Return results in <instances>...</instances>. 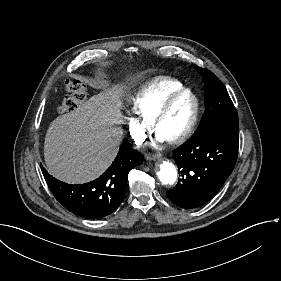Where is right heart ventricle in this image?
<instances>
[{"mask_svg":"<svg viewBox=\"0 0 281 281\" xmlns=\"http://www.w3.org/2000/svg\"><path fill=\"white\" fill-rule=\"evenodd\" d=\"M186 89V86L174 78L157 81L154 85L142 89L129 97V104L138 116L135 122L144 128V122L157 110V108L171 95Z\"/></svg>","mask_w":281,"mask_h":281,"instance_id":"1","label":"right heart ventricle"}]
</instances>
